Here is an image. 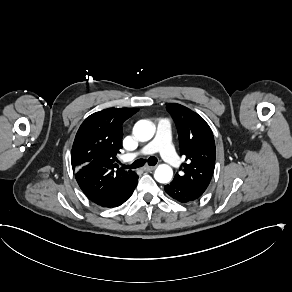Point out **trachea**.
I'll return each instance as SVG.
<instances>
[{"instance_id": "trachea-1", "label": "trachea", "mask_w": 292, "mask_h": 292, "mask_svg": "<svg viewBox=\"0 0 292 292\" xmlns=\"http://www.w3.org/2000/svg\"><path fill=\"white\" fill-rule=\"evenodd\" d=\"M146 162L148 163V165L154 166V165L157 164V158L154 157V156H151L148 159H137L136 161H134L133 164H131V165H122L121 168L122 169L140 168V167L144 166Z\"/></svg>"}]
</instances>
